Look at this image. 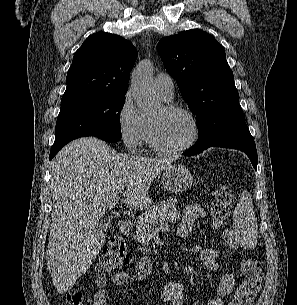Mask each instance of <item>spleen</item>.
<instances>
[{
  "label": "spleen",
  "mask_w": 297,
  "mask_h": 305,
  "mask_svg": "<svg viewBox=\"0 0 297 305\" xmlns=\"http://www.w3.org/2000/svg\"><path fill=\"white\" fill-rule=\"evenodd\" d=\"M233 229L238 237L246 239L250 247L257 242V220L249 192L244 190L233 213Z\"/></svg>",
  "instance_id": "obj_1"
}]
</instances>
